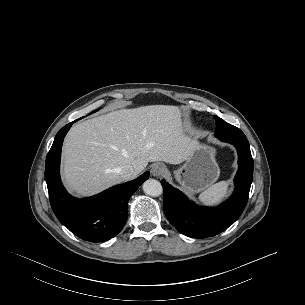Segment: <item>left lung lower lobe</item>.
Returning a JSON list of instances; mask_svg holds the SVG:
<instances>
[{
    "label": "left lung lower lobe",
    "mask_w": 305,
    "mask_h": 305,
    "mask_svg": "<svg viewBox=\"0 0 305 305\" xmlns=\"http://www.w3.org/2000/svg\"><path fill=\"white\" fill-rule=\"evenodd\" d=\"M233 144L238 152L239 169L235 176L232 197L217 208L198 207L164 179V212L170 223L182 234L192 238L215 236L231 226L243 212L253 177V158L248 142L222 140Z\"/></svg>",
    "instance_id": "left-lung-lower-lobe-1"
}]
</instances>
